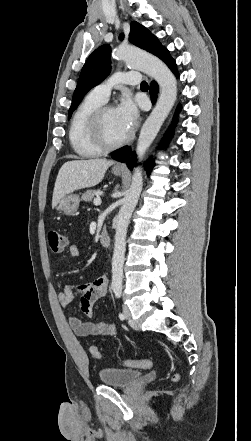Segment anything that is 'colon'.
Returning a JSON list of instances; mask_svg holds the SVG:
<instances>
[{"label":"colon","mask_w":251,"mask_h":441,"mask_svg":"<svg viewBox=\"0 0 251 441\" xmlns=\"http://www.w3.org/2000/svg\"><path fill=\"white\" fill-rule=\"evenodd\" d=\"M48 244L52 252L54 253H61L64 251V249L67 246V238L66 236L57 230H51L48 232L47 235ZM90 354L95 357H100V351L97 346L92 345L89 348ZM122 364L125 367L128 368H136V369H147L150 368L153 365L152 360L145 359V360H124L122 361ZM178 374H174L172 379L174 381L178 380Z\"/></svg>","instance_id":"5ec220e1"}]
</instances>
